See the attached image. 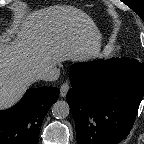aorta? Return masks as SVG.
Masks as SVG:
<instances>
[{"label":"aorta","instance_id":"obj_1","mask_svg":"<svg viewBox=\"0 0 144 144\" xmlns=\"http://www.w3.org/2000/svg\"><path fill=\"white\" fill-rule=\"evenodd\" d=\"M70 113L69 105L66 101L59 100L52 106V115L56 119H65Z\"/></svg>","mask_w":144,"mask_h":144}]
</instances>
